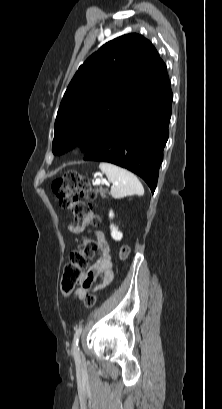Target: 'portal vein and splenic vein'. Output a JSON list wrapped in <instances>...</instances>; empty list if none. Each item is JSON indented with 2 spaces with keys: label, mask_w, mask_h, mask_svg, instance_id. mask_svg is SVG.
I'll list each match as a JSON object with an SVG mask.
<instances>
[{
  "label": "portal vein and splenic vein",
  "mask_w": 222,
  "mask_h": 409,
  "mask_svg": "<svg viewBox=\"0 0 222 409\" xmlns=\"http://www.w3.org/2000/svg\"><path fill=\"white\" fill-rule=\"evenodd\" d=\"M94 184L95 185L106 184L107 186H110V183H108V182H106L105 180H102V179H96Z\"/></svg>",
  "instance_id": "obj_1"
}]
</instances>
